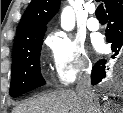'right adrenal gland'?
I'll list each match as a JSON object with an SVG mask.
<instances>
[{
  "label": "right adrenal gland",
  "instance_id": "1",
  "mask_svg": "<svg viewBox=\"0 0 123 113\" xmlns=\"http://www.w3.org/2000/svg\"><path fill=\"white\" fill-rule=\"evenodd\" d=\"M111 107H112V106H111ZM102 111H103V113H111V112H112L111 109H110V105H108V104H105V105H104ZM120 111L123 113V108L120 109Z\"/></svg>",
  "mask_w": 123,
  "mask_h": 113
}]
</instances>
